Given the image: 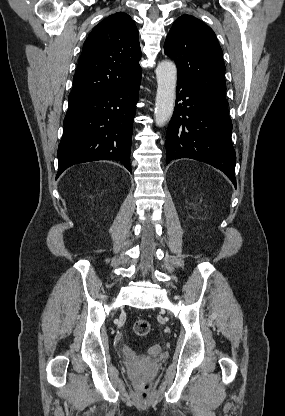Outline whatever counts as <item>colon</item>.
<instances>
[{
  "instance_id": "1",
  "label": "colon",
  "mask_w": 285,
  "mask_h": 416,
  "mask_svg": "<svg viewBox=\"0 0 285 416\" xmlns=\"http://www.w3.org/2000/svg\"><path fill=\"white\" fill-rule=\"evenodd\" d=\"M133 331L138 336H146L150 332V324L144 319L136 320L133 324ZM133 383L137 392L138 401L141 404H146L151 397V380L144 376H136Z\"/></svg>"
}]
</instances>
